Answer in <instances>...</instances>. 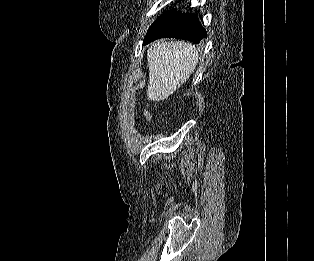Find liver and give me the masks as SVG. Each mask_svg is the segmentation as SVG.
<instances>
[{
    "label": "liver",
    "instance_id": "1",
    "mask_svg": "<svg viewBox=\"0 0 314 261\" xmlns=\"http://www.w3.org/2000/svg\"><path fill=\"white\" fill-rule=\"evenodd\" d=\"M149 81L148 100L161 101L172 95L198 63V52L184 41H157L147 51Z\"/></svg>",
    "mask_w": 314,
    "mask_h": 261
}]
</instances>
